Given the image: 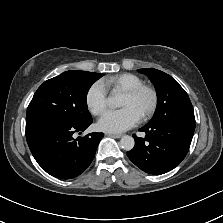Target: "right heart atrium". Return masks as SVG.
<instances>
[{"instance_id": "obj_1", "label": "right heart atrium", "mask_w": 223, "mask_h": 223, "mask_svg": "<svg viewBox=\"0 0 223 223\" xmlns=\"http://www.w3.org/2000/svg\"><path fill=\"white\" fill-rule=\"evenodd\" d=\"M85 102L93 115H100L107 107V88L102 81L90 85L86 92Z\"/></svg>"}]
</instances>
